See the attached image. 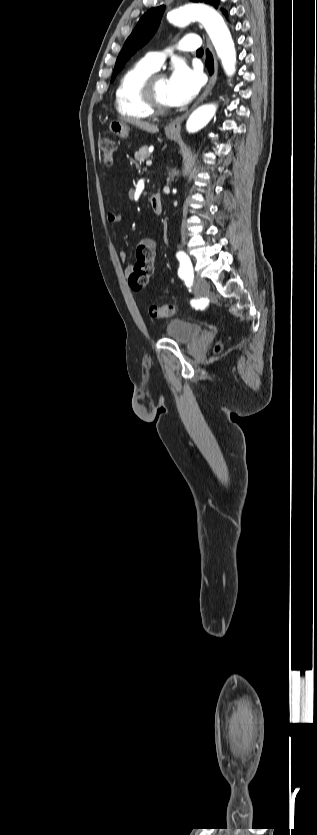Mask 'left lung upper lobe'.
I'll list each match as a JSON object with an SVG mask.
<instances>
[{"label": "left lung upper lobe", "instance_id": "1", "mask_svg": "<svg viewBox=\"0 0 317 835\" xmlns=\"http://www.w3.org/2000/svg\"><path fill=\"white\" fill-rule=\"evenodd\" d=\"M196 3H206L218 8L219 0H190ZM165 6H158L147 11L137 23L131 35L127 38L123 49L117 58L112 80L122 70L126 61L141 47H143L156 32Z\"/></svg>", "mask_w": 317, "mask_h": 835}]
</instances>
